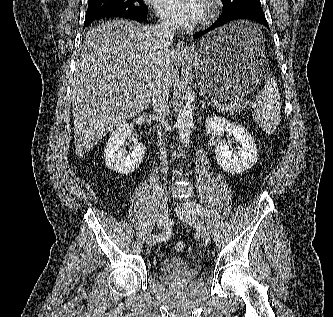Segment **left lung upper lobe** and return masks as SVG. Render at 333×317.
I'll list each match as a JSON object with an SVG mask.
<instances>
[{
    "label": "left lung upper lobe",
    "mask_w": 333,
    "mask_h": 317,
    "mask_svg": "<svg viewBox=\"0 0 333 317\" xmlns=\"http://www.w3.org/2000/svg\"><path fill=\"white\" fill-rule=\"evenodd\" d=\"M223 13L249 7H261L260 0H221Z\"/></svg>",
    "instance_id": "5c2ea615"
}]
</instances>
